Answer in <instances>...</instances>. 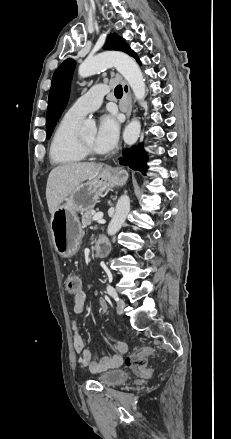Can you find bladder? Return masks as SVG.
I'll return each mask as SVG.
<instances>
[{"mask_svg":"<svg viewBox=\"0 0 231 439\" xmlns=\"http://www.w3.org/2000/svg\"><path fill=\"white\" fill-rule=\"evenodd\" d=\"M129 374L122 369H113L101 373L97 380L104 386L114 387L128 380Z\"/></svg>","mask_w":231,"mask_h":439,"instance_id":"bladder-1","label":"bladder"}]
</instances>
